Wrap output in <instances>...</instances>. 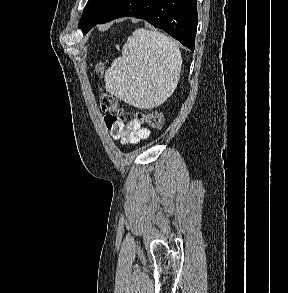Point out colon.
Instances as JSON below:
<instances>
[{"label": "colon", "instance_id": "1", "mask_svg": "<svg viewBox=\"0 0 288 293\" xmlns=\"http://www.w3.org/2000/svg\"><path fill=\"white\" fill-rule=\"evenodd\" d=\"M95 72L98 76H101L104 72V64L102 62H99L95 66ZM101 91V106L103 110L105 111H118L119 113H122V109L118 108V102L117 99L104 92L102 89ZM135 120L139 122L140 124H146L154 129H161L164 126V116L159 111H153L149 113H136L135 114Z\"/></svg>", "mask_w": 288, "mask_h": 293}]
</instances>
